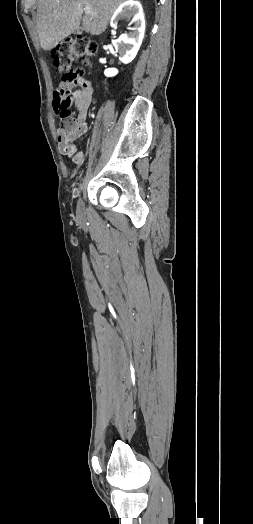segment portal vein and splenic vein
Returning a JSON list of instances; mask_svg holds the SVG:
<instances>
[{"label":"portal vein and splenic vein","mask_w":253,"mask_h":524,"mask_svg":"<svg viewBox=\"0 0 253 524\" xmlns=\"http://www.w3.org/2000/svg\"><path fill=\"white\" fill-rule=\"evenodd\" d=\"M84 11L86 14H90V15H94L95 12L92 10V8L90 6H85L84 7Z\"/></svg>","instance_id":"1"}]
</instances>
